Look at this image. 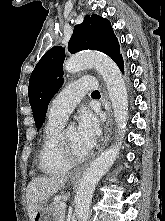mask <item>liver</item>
<instances>
[{"label": "liver", "mask_w": 165, "mask_h": 221, "mask_svg": "<svg viewBox=\"0 0 165 221\" xmlns=\"http://www.w3.org/2000/svg\"><path fill=\"white\" fill-rule=\"evenodd\" d=\"M68 176H44L33 178L26 190L27 211L30 221H34L38 209L50 196L61 190Z\"/></svg>", "instance_id": "1"}]
</instances>
